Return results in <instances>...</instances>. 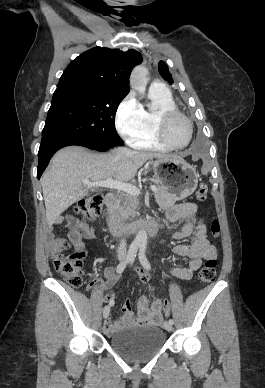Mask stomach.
<instances>
[{
  "label": "stomach",
  "instance_id": "obj_1",
  "mask_svg": "<svg viewBox=\"0 0 265 388\" xmlns=\"http://www.w3.org/2000/svg\"><path fill=\"white\" fill-rule=\"evenodd\" d=\"M153 171L157 183L174 197L175 202L187 198L197 188L195 168L181 157L159 158L153 162Z\"/></svg>",
  "mask_w": 265,
  "mask_h": 388
}]
</instances>
